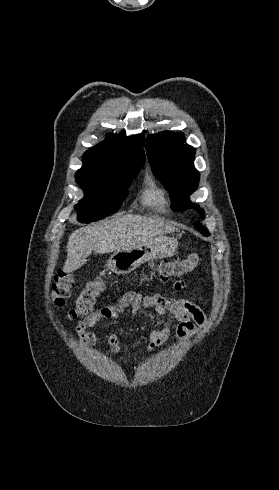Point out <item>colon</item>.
Listing matches in <instances>:
<instances>
[{"instance_id": "colon-1", "label": "colon", "mask_w": 279, "mask_h": 490, "mask_svg": "<svg viewBox=\"0 0 279 490\" xmlns=\"http://www.w3.org/2000/svg\"><path fill=\"white\" fill-rule=\"evenodd\" d=\"M200 256L198 253H190L181 260H160L155 263L156 272L162 281L169 278H179L192 272L199 264ZM75 279L68 273L57 275L52 283L50 300L54 304H61L69 297ZM107 286L105 275L88 281L84 288L75 298L73 306L67 311L66 317L70 320H77L90 314L93 310L95 298L100 295Z\"/></svg>"}]
</instances>
